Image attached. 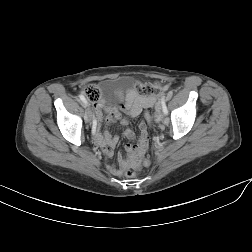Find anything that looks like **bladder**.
<instances>
[{"instance_id": "1", "label": "bladder", "mask_w": 252, "mask_h": 252, "mask_svg": "<svg viewBox=\"0 0 252 252\" xmlns=\"http://www.w3.org/2000/svg\"><path fill=\"white\" fill-rule=\"evenodd\" d=\"M129 82H130V79L128 77H121L117 79L107 80L104 83L107 89L112 90V89H126V85Z\"/></svg>"}]
</instances>
